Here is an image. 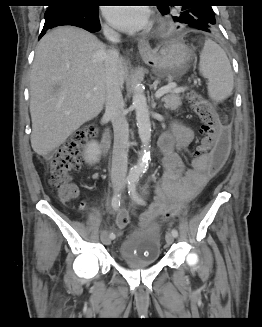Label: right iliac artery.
<instances>
[{
	"label": "right iliac artery",
	"mask_w": 262,
	"mask_h": 327,
	"mask_svg": "<svg viewBox=\"0 0 262 327\" xmlns=\"http://www.w3.org/2000/svg\"><path fill=\"white\" fill-rule=\"evenodd\" d=\"M132 179L133 178H131V177H127L124 180L122 186L125 185V184H129ZM120 199H121V193L118 191V192H116L113 195L112 201H111V205H112V207H113L114 210H118L119 209V207H120ZM110 238L111 239H114L115 238V234L114 233H110Z\"/></svg>",
	"instance_id": "right-iliac-artery-1"
}]
</instances>
